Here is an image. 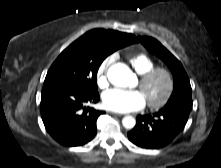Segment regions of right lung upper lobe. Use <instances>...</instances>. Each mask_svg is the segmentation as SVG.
<instances>
[{
    "instance_id": "1",
    "label": "right lung upper lobe",
    "mask_w": 221,
    "mask_h": 168,
    "mask_svg": "<svg viewBox=\"0 0 221 168\" xmlns=\"http://www.w3.org/2000/svg\"><path fill=\"white\" fill-rule=\"evenodd\" d=\"M87 34L95 35L99 39L107 42H115L125 46L138 42L134 35L114 30L94 29L87 32Z\"/></svg>"
}]
</instances>
